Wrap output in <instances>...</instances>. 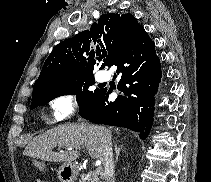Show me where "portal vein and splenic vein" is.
Instances as JSON below:
<instances>
[{"mask_svg": "<svg viewBox=\"0 0 211 182\" xmlns=\"http://www.w3.org/2000/svg\"><path fill=\"white\" fill-rule=\"evenodd\" d=\"M72 149H74V148H68V150H72ZM75 149H81V147H76ZM96 173L97 174H100L101 173V168L100 167H97Z\"/></svg>", "mask_w": 211, "mask_h": 182, "instance_id": "18ae733b", "label": "portal vein and splenic vein"}]
</instances>
